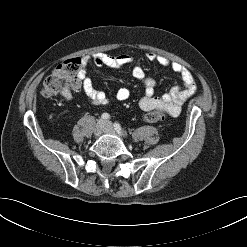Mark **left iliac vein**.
I'll return each mask as SVG.
<instances>
[{"mask_svg": "<svg viewBox=\"0 0 247 247\" xmlns=\"http://www.w3.org/2000/svg\"><path fill=\"white\" fill-rule=\"evenodd\" d=\"M104 131L106 133H111V134H114L115 133L114 128L112 126V123L110 121H106L105 122V129H104Z\"/></svg>", "mask_w": 247, "mask_h": 247, "instance_id": "4c4485c4", "label": "left iliac vein"}]
</instances>
